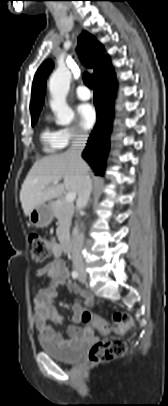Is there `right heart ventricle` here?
Segmentation results:
<instances>
[{"label":"right heart ventricle","instance_id":"obj_1","mask_svg":"<svg viewBox=\"0 0 168 406\" xmlns=\"http://www.w3.org/2000/svg\"><path fill=\"white\" fill-rule=\"evenodd\" d=\"M40 138L44 150L48 153L58 152L66 146L61 138L60 131L53 129L48 124L44 125Z\"/></svg>","mask_w":168,"mask_h":406}]
</instances>
